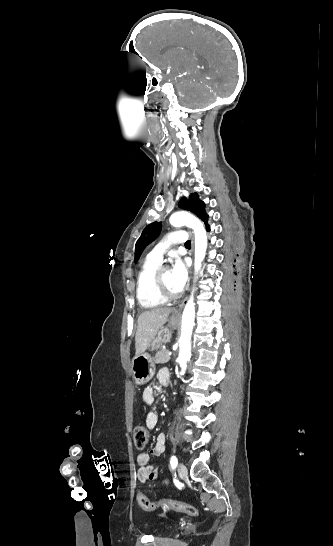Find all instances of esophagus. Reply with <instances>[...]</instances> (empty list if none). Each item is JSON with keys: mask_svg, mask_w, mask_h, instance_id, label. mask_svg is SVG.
<instances>
[{"mask_svg": "<svg viewBox=\"0 0 333 546\" xmlns=\"http://www.w3.org/2000/svg\"><path fill=\"white\" fill-rule=\"evenodd\" d=\"M190 234H191V237H192V251H193V244H194V236H193V233L190 231ZM184 303H185V300L178 306V308L175 309V311L173 312V314L175 316H179L180 313H181V310L184 306Z\"/></svg>", "mask_w": 333, "mask_h": 546, "instance_id": "1", "label": "esophagus"}]
</instances>
